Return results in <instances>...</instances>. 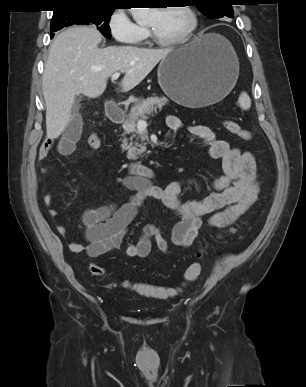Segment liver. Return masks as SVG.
Wrapping results in <instances>:
<instances>
[{
  "instance_id": "6515ba94",
  "label": "liver",
  "mask_w": 306,
  "mask_h": 387,
  "mask_svg": "<svg viewBox=\"0 0 306 387\" xmlns=\"http://www.w3.org/2000/svg\"><path fill=\"white\" fill-rule=\"evenodd\" d=\"M101 41L102 36L94 27L76 26L61 32L51 44L42 78L47 138H58L67 127L77 95H102L108 78L116 72L125 73L120 85L123 92H128L174 50L99 48Z\"/></svg>"
}]
</instances>
